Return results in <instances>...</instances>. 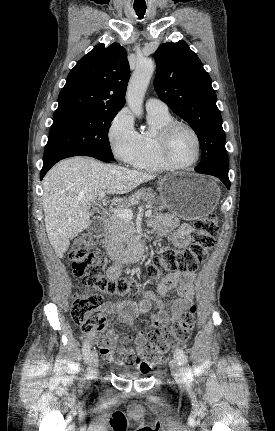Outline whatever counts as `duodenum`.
<instances>
[{
    "mask_svg": "<svg viewBox=\"0 0 275 431\" xmlns=\"http://www.w3.org/2000/svg\"><path fill=\"white\" fill-rule=\"evenodd\" d=\"M107 226L105 219H100L95 234L100 236L103 229ZM144 253V241L141 239L130 240L125 246L110 250V257L117 262L131 264L137 262Z\"/></svg>",
    "mask_w": 275,
    "mask_h": 431,
    "instance_id": "obj_1",
    "label": "duodenum"
}]
</instances>
